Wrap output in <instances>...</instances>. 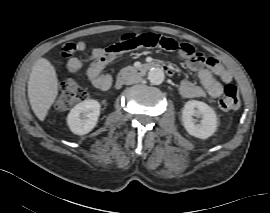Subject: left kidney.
Returning <instances> with one entry per match:
<instances>
[{
    "instance_id": "left-kidney-1",
    "label": "left kidney",
    "mask_w": 270,
    "mask_h": 213,
    "mask_svg": "<svg viewBox=\"0 0 270 213\" xmlns=\"http://www.w3.org/2000/svg\"><path fill=\"white\" fill-rule=\"evenodd\" d=\"M193 116L202 117L200 124L195 123ZM182 122L190 135L200 139L209 138L217 129L215 111L206 103L197 100H190L185 103L182 110Z\"/></svg>"
}]
</instances>
